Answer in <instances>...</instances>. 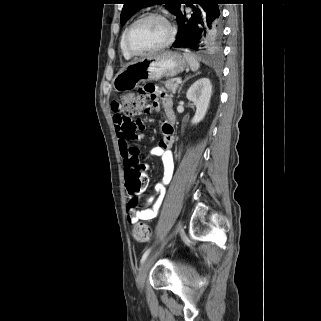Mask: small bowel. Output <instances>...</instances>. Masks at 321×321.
<instances>
[{
  "mask_svg": "<svg viewBox=\"0 0 321 321\" xmlns=\"http://www.w3.org/2000/svg\"><path fill=\"white\" fill-rule=\"evenodd\" d=\"M137 96L148 98L153 102V107H158V98L161 99L165 112V119L161 124L162 138L159 143L152 148L151 154L162 160L163 176L160 183L155 185L154 194L146 199L145 207L137 210L131 202L126 208V217L130 223L137 221H149L156 218L159 214L161 203L164 196L165 186L170 182L174 171V160L170 148L175 138L176 116L173 110L171 98L155 82H143L142 86L135 88ZM113 111V122L118 139L119 150L125 166L134 158L139 159V149L131 145L132 141H138L143 138L145 128L143 122L124 118L118 111L116 102L111 104Z\"/></svg>",
  "mask_w": 321,
  "mask_h": 321,
  "instance_id": "1",
  "label": "small bowel"
}]
</instances>
